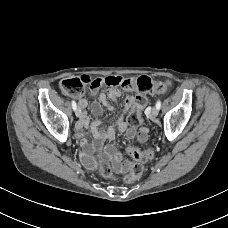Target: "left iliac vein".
<instances>
[{
	"mask_svg": "<svg viewBox=\"0 0 228 228\" xmlns=\"http://www.w3.org/2000/svg\"><path fill=\"white\" fill-rule=\"evenodd\" d=\"M158 113H159V109L156 106H154L151 111V116L157 117Z\"/></svg>",
	"mask_w": 228,
	"mask_h": 228,
	"instance_id": "left-iliac-vein-1",
	"label": "left iliac vein"
}]
</instances>
